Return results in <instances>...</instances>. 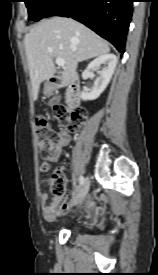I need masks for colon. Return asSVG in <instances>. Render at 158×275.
<instances>
[{
  "instance_id": "obj_1",
  "label": "colon",
  "mask_w": 158,
  "mask_h": 275,
  "mask_svg": "<svg viewBox=\"0 0 158 275\" xmlns=\"http://www.w3.org/2000/svg\"><path fill=\"white\" fill-rule=\"evenodd\" d=\"M52 117L68 129L77 131L86 119V112L84 110H77L70 113L66 107L58 105L53 108ZM35 126L39 151L42 154L50 152L58 139V133L53 128L51 118L47 116H38L35 119ZM49 181L54 197L62 198L65 193V185L67 182L65 174L57 170L50 176Z\"/></svg>"
}]
</instances>
